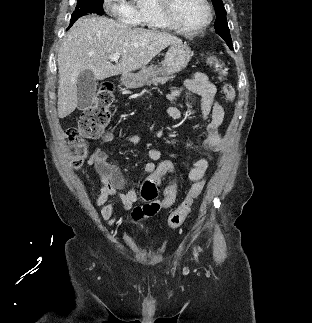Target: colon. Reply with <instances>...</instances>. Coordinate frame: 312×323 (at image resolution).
Masks as SVG:
<instances>
[{
	"instance_id": "colon-1",
	"label": "colon",
	"mask_w": 312,
	"mask_h": 323,
	"mask_svg": "<svg viewBox=\"0 0 312 323\" xmlns=\"http://www.w3.org/2000/svg\"><path fill=\"white\" fill-rule=\"evenodd\" d=\"M207 64L215 69L220 75H225L228 71L225 62L216 56H211L207 59ZM221 92L224 98L231 102L235 98L234 87L225 81L221 83ZM115 96L113 85L110 80H103L97 90L94 100L91 105L83 109L78 118L77 126L67 130L66 140L72 150L74 158H87L91 151L87 146V139H96L106 141L109 138L107 127L111 121V112L114 106ZM68 168H81V161H68ZM174 161L162 160L155 169L153 177H143L141 182L142 196L148 201L142 208V214L145 217H152L160 210V202L156 200L157 187L160 175L165 172H172ZM204 184H192L191 189L185 194L178 210H171L170 215V230H175L183 221L184 217H189L190 206L199 195V191H204ZM175 198V189L169 186L166 189L165 197H162L161 202L165 204L167 209L172 207Z\"/></svg>"
}]
</instances>
